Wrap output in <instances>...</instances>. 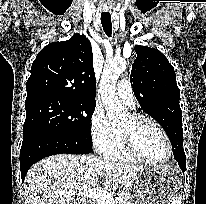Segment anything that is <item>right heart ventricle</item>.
I'll list each match as a JSON object with an SVG mask.
<instances>
[{"label":"right heart ventricle","mask_w":206,"mask_h":204,"mask_svg":"<svg viewBox=\"0 0 206 204\" xmlns=\"http://www.w3.org/2000/svg\"><path fill=\"white\" fill-rule=\"evenodd\" d=\"M103 156L107 159L120 162H138L136 158L128 153L126 150L119 127L114 126V136L108 147L102 152Z\"/></svg>","instance_id":"1"}]
</instances>
